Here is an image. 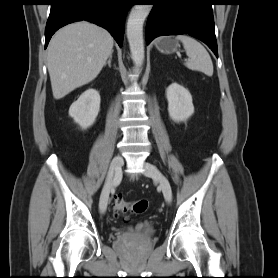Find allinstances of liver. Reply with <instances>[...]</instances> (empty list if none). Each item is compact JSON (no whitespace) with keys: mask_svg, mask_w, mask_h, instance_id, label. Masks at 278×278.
<instances>
[{"mask_svg":"<svg viewBox=\"0 0 278 278\" xmlns=\"http://www.w3.org/2000/svg\"><path fill=\"white\" fill-rule=\"evenodd\" d=\"M113 44L108 31L86 21L58 30L47 53L53 97L61 99L95 79L112 54Z\"/></svg>","mask_w":278,"mask_h":278,"instance_id":"6515ba94","label":"liver"}]
</instances>
